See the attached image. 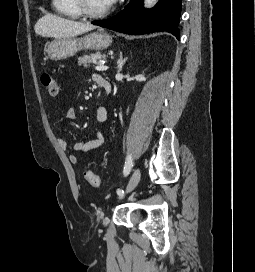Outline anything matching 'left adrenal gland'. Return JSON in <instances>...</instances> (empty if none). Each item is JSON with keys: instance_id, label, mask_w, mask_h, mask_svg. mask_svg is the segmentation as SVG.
I'll use <instances>...</instances> for the list:
<instances>
[{"instance_id": "left-adrenal-gland-1", "label": "left adrenal gland", "mask_w": 255, "mask_h": 272, "mask_svg": "<svg viewBox=\"0 0 255 272\" xmlns=\"http://www.w3.org/2000/svg\"><path fill=\"white\" fill-rule=\"evenodd\" d=\"M126 60H127V57L123 58V54L122 52H120L119 59L117 60V72L122 71V67L125 64Z\"/></svg>"}]
</instances>
